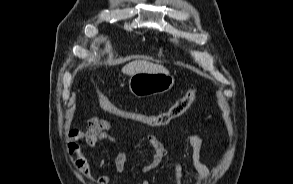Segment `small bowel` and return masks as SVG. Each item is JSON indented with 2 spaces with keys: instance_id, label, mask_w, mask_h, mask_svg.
<instances>
[{
  "instance_id": "small-bowel-1",
  "label": "small bowel",
  "mask_w": 293,
  "mask_h": 184,
  "mask_svg": "<svg viewBox=\"0 0 293 184\" xmlns=\"http://www.w3.org/2000/svg\"><path fill=\"white\" fill-rule=\"evenodd\" d=\"M111 123L101 117H93L87 120L84 127L73 128L67 134V149L72 158L73 163L79 174L89 179L91 174V164L87 154L83 150V144L90 147H97L101 142H108L115 146L117 156L115 158V168L113 173H122L125 170L128 159V151L123 149L118 140L110 133ZM146 139L154 151L152 159L142 166L141 172L147 174L155 170L164 160L170 157L163 143L158 137L146 131ZM203 138L198 133H193L189 137V146L191 150V161L194 170L196 171V182H201L207 179L211 172L206 165L201 161V147ZM103 165V161L100 162ZM184 176L183 165L180 162H174V179L175 184H182ZM112 174H105L98 177L94 184H108L111 181ZM133 184H150L147 179L139 180Z\"/></svg>"
}]
</instances>
